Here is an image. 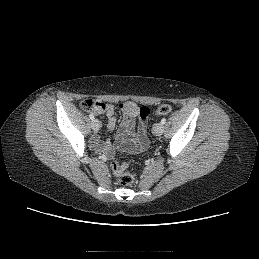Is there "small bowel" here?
<instances>
[{"label":"small bowel","mask_w":259,"mask_h":259,"mask_svg":"<svg viewBox=\"0 0 259 259\" xmlns=\"http://www.w3.org/2000/svg\"><path fill=\"white\" fill-rule=\"evenodd\" d=\"M120 107L123 119L116 138L117 144L130 152H139L148 145L147 119L140 116V107L134 102H124ZM94 112L97 115L105 114L109 130H113L116 127L115 108L112 104H105L103 109L94 110ZM136 119H139L137 130H135ZM93 144L97 149L106 154L112 153L110 141L101 142L98 137H95Z\"/></svg>","instance_id":"small-bowel-1"}]
</instances>
